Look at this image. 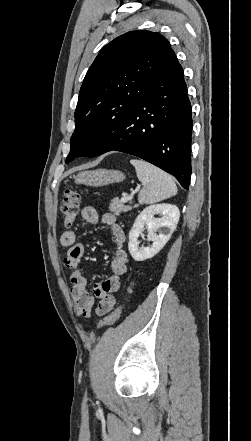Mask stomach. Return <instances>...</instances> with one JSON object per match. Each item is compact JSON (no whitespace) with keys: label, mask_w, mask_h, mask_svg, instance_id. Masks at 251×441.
<instances>
[{"label":"stomach","mask_w":251,"mask_h":441,"mask_svg":"<svg viewBox=\"0 0 251 441\" xmlns=\"http://www.w3.org/2000/svg\"><path fill=\"white\" fill-rule=\"evenodd\" d=\"M76 184H84L92 187H102L112 183H118L125 179L124 173L111 169H95L78 173L74 176Z\"/></svg>","instance_id":"obj_1"}]
</instances>
